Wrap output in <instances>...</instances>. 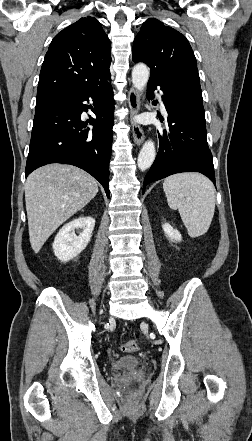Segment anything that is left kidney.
Listing matches in <instances>:
<instances>
[{
  "instance_id": "left-kidney-1",
  "label": "left kidney",
  "mask_w": 252,
  "mask_h": 441,
  "mask_svg": "<svg viewBox=\"0 0 252 441\" xmlns=\"http://www.w3.org/2000/svg\"><path fill=\"white\" fill-rule=\"evenodd\" d=\"M163 230L164 233L166 234V236L168 238H170L173 241H181L182 240V236L180 234V232L177 229H174L169 223H165L163 224Z\"/></svg>"
}]
</instances>
